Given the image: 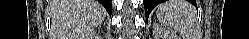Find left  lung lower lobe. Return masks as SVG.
I'll use <instances>...</instances> for the list:
<instances>
[{
    "label": "left lung lower lobe",
    "instance_id": "1",
    "mask_svg": "<svg viewBox=\"0 0 249 39\" xmlns=\"http://www.w3.org/2000/svg\"><path fill=\"white\" fill-rule=\"evenodd\" d=\"M164 0H143L144 3V8H145V14H146V19H148L149 13L151 10L159 3L163 2ZM193 4L196 5L194 0H191Z\"/></svg>",
    "mask_w": 249,
    "mask_h": 39
}]
</instances>
